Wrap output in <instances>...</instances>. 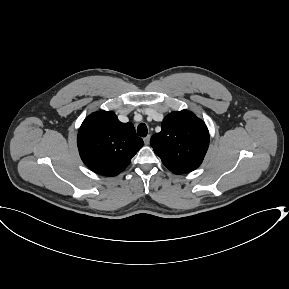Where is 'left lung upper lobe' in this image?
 Returning <instances> with one entry per match:
<instances>
[{
  "instance_id": "obj_1",
  "label": "left lung upper lobe",
  "mask_w": 289,
  "mask_h": 289,
  "mask_svg": "<svg viewBox=\"0 0 289 289\" xmlns=\"http://www.w3.org/2000/svg\"><path fill=\"white\" fill-rule=\"evenodd\" d=\"M150 143L170 171L184 174L202 163L209 145V132L201 119L182 110L164 118L161 132L154 134Z\"/></svg>"
}]
</instances>
